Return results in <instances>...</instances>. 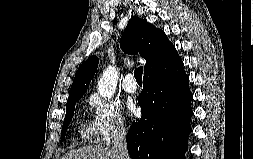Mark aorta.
Wrapping results in <instances>:
<instances>
[{
  "mask_svg": "<svg viewBox=\"0 0 253 159\" xmlns=\"http://www.w3.org/2000/svg\"><path fill=\"white\" fill-rule=\"evenodd\" d=\"M118 73L112 66L106 68L98 81V91L100 96L110 99L117 87Z\"/></svg>",
  "mask_w": 253,
  "mask_h": 159,
  "instance_id": "obj_1",
  "label": "aorta"
}]
</instances>
